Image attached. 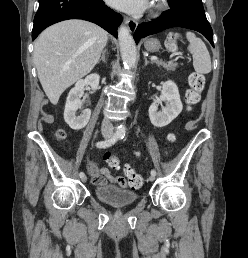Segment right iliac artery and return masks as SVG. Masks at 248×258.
Instances as JSON below:
<instances>
[{
  "label": "right iliac artery",
  "mask_w": 248,
  "mask_h": 258,
  "mask_svg": "<svg viewBox=\"0 0 248 258\" xmlns=\"http://www.w3.org/2000/svg\"><path fill=\"white\" fill-rule=\"evenodd\" d=\"M121 135L120 134H114L110 139L105 140V141H100L96 144L98 148H107L112 146L118 139H120ZM79 176L83 178L85 174L83 172H80Z\"/></svg>",
  "instance_id": "obj_1"
}]
</instances>
